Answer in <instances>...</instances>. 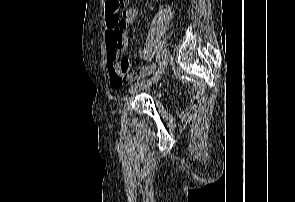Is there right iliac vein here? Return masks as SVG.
I'll list each match as a JSON object with an SVG mask.
<instances>
[{
	"label": "right iliac vein",
	"instance_id": "1",
	"mask_svg": "<svg viewBox=\"0 0 295 202\" xmlns=\"http://www.w3.org/2000/svg\"><path fill=\"white\" fill-rule=\"evenodd\" d=\"M168 58H169L168 51H167V49H165L162 54V61H161V64H160L158 70L152 75V77L148 78L147 80H144L141 83H138V84L132 86L129 89V93L133 94L138 89L147 88V87H150L153 84H155L159 80V78L163 74V72L165 71V69L167 67V63H168Z\"/></svg>",
	"mask_w": 295,
	"mask_h": 202
}]
</instances>
